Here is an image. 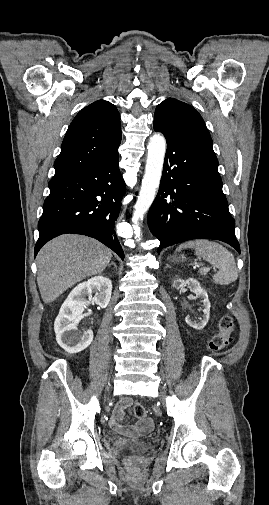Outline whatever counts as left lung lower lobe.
<instances>
[{"label": "left lung lower lobe", "mask_w": 269, "mask_h": 505, "mask_svg": "<svg viewBox=\"0 0 269 505\" xmlns=\"http://www.w3.org/2000/svg\"><path fill=\"white\" fill-rule=\"evenodd\" d=\"M154 129L167 140L160 188L148 213L158 253L196 238L226 242L240 253L210 134L155 119Z\"/></svg>", "instance_id": "obj_1"}]
</instances>
